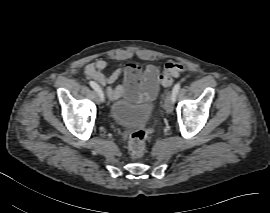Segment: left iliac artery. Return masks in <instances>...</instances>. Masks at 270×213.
<instances>
[{
    "mask_svg": "<svg viewBox=\"0 0 270 213\" xmlns=\"http://www.w3.org/2000/svg\"><path fill=\"white\" fill-rule=\"evenodd\" d=\"M181 84L180 83H176L175 86L172 89V98H173V102H175L176 99V95L180 89Z\"/></svg>",
    "mask_w": 270,
    "mask_h": 213,
    "instance_id": "obj_1",
    "label": "left iliac artery"
}]
</instances>
